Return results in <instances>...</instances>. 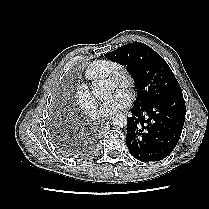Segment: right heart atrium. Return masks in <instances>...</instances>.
I'll return each instance as SVG.
<instances>
[{
  "instance_id": "d8ad5b80",
  "label": "right heart atrium",
  "mask_w": 209,
  "mask_h": 209,
  "mask_svg": "<svg viewBox=\"0 0 209 209\" xmlns=\"http://www.w3.org/2000/svg\"><path fill=\"white\" fill-rule=\"evenodd\" d=\"M77 106L89 117L98 115V103L92 96L89 89L85 86H80L74 95Z\"/></svg>"
}]
</instances>
